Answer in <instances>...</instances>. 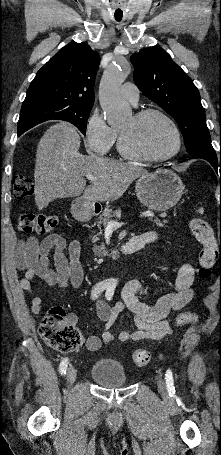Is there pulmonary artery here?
<instances>
[{
	"instance_id": "pulmonary-artery-1",
	"label": "pulmonary artery",
	"mask_w": 221,
	"mask_h": 455,
	"mask_svg": "<svg viewBox=\"0 0 221 455\" xmlns=\"http://www.w3.org/2000/svg\"><path fill=\"white\" fill-rule=\"evenodd\" d=\"M121 95L135 105L139 99V90L135 84L126 82L121 87Z\"/></svg>"
}]
</instances>
